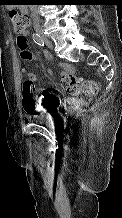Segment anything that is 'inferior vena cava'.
I'll return each instance as SVG.
<instances>
[{"mask_svg": "<svg viewBox=\"0 0 122 218\" xmlns=\"http://www.w3.org/2000/svg\"><path fill=\"white\" fill-rule=\"evenodd\" d=\"M33 23H34V28L39 27V19L37 16H33Z\"/></svg>", "mask_w": 122, "mask_h": 218, "instance_id": "602c4592", "label": "inferior vena cava"}]
</instances>
